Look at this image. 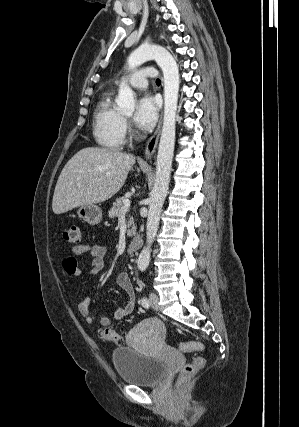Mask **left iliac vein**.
Returning a JSON list of instances; mask_svg holds the SVG:
<instances>
[{"instance_id":"left-iliac-vein-1","label":"left iliac vein","mask_w":299,"mask_h":427,"mask_svg":"<svg viewBox=\"0 0 299 427\" xmlns=\"http://www.w3.org/2000/svg\"><path fill=\"white\" fill-rule=\"evenodd\" d=\"M149 301H150V305L153 309H155V310L159 309V298H158L157 294H155L154 292H151L149 295Z\"/></svg>"}]
</instances>
